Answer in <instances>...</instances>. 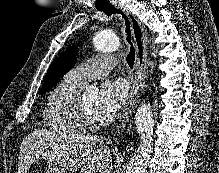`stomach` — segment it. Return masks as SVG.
I'll list each match as a JSON object with an SVG mask.
<instances>
[{"mask_svg": "<svg viewBox=\"0 0 219 173\" xmlns=\"http://www.w3.org/2000/svg\"><path fill=\"white\" fill-rule=\"evenodd\" d=\"M46 173H68V171L56 162H49L46 167Z\"/></svg>", "mask_w": 219, "mask_h": 173, "instance_id": "stomach-1", "label": "stomach"}]
</instances>
